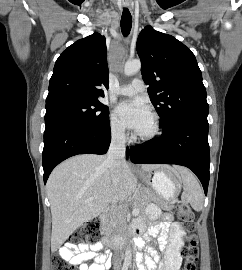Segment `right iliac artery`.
I'll return each instance as SVG.
<instances>
[{"label":"right iliac artery","mask_w":242,"mask_h":270,"mask_svg":"<svg viewBox=\"0 0 242 270\" xmlns=\"http://www.w3.org/2000/svg\"><path fill=\"white\" fill-rule=\"evenodd\" d=\"M123 270H127V268H123Z\"/></svg>","instance_id":"right-iliac-artery-1"}]
</instances>
